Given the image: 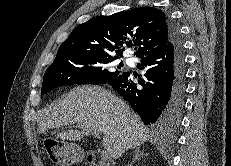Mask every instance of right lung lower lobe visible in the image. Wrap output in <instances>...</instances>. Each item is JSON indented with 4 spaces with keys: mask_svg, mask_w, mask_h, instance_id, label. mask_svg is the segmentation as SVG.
<instances>
[{
    "mask_svg": "<svg viewBox=\"0 0 231 166\" xmlns=\"http://www.w3.org/2000/svg\"><path fill=\"white\" fill-rule=\"evenodd\" d=\"M170 41L161 50L140 58L146 69L137 86L129 72L106 82L138 112L156 134L175 129L181 119L185 95L184 48L179 29L169 20Z\"/></svg>",
    "mask_w": 231,
    "mask_h": 166,
    "instance_id": "1",
    "label": "right lung lower lobe"
}]
</instances>
